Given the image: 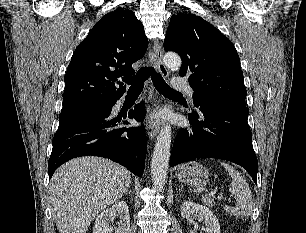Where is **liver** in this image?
I'll return each instance as SVG.
<instances>
[{"label": "liver", "mask_w": 306, "mask_h": 233, "mask_svg": "<svg viewBox=\"0 0 306 233\" xmlns=\"http://www.w3.org/2000/svg\"><path fill=\"white\" fill-rule=\"evenodd\" d=\"M130 184V172L105 158L87 156L62 165L48 191L59 233H86L99 212L119 200Z\"/></svg>", "instance_id": "obj_1"}]
</instances>
